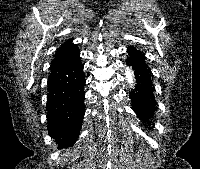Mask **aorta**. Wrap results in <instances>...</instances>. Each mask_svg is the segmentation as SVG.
Returning a JSON list of instances; mask_svg holds the SVG:
<instances>
[{
  "label": "aorta",
  "instance_id": "obj_1",
  "mask_svg": "<svg viewBox=\"0 0 200 169\" xmlns=\"http://www.w3.org/2000/svg\"><path fill=\"white\" fill-rule=\"evenodd\" d=\"M125 79H126V82L130 85V87H133L134 77L129 67L125 68Z\"/></svg>",
  "mask_w": 200,
  "mask_h": 169
}]
</instances>
